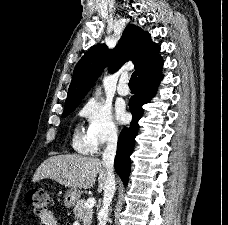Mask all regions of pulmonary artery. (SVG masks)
<instances>
[{
    "label": "pulmonary artery",
    "mask_w": 228,
    "mask_h": 225,
    "mask_svg": "<svg viewBox=\"0 0 228 225\" xmlns=\"http://www.w3.org/2000/svg\"><path fill=\"white\" fill-rule=\"evenodd\" d=\"M117 92L120 96H127L129 94V87L126 78H123L117 86Z\"/></svg>",
    "instance_id": "e3ab8cb5"
}]
</instances>
